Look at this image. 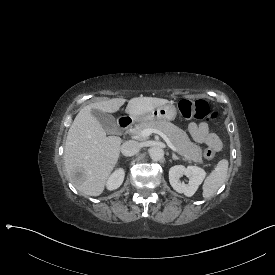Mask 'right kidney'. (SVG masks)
<instances>
[{
  "mask_svg": "<svg viewBox=\"0 0 275 275\" xmlns=\"http://www.w3.org/2000/svg\"><path fill=\"white\" fill-rule=\"evenodd\" d=\"M124 181V172L123 170H117L108 181V188L110 190L119 188Z\"/></svg>",
  "mask_w": 275,
  "mask_h": 275,
  "instance_id": "obj_1",
  "label": "right kidney"
}]
</instances>
